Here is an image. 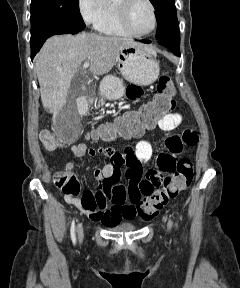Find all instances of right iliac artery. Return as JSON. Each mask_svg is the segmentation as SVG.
<instances>
[{"instance_id":"right-iliac-artery-1","label":"right iliac artery","mask_w":240,"mask_h":288,"mask_svg":"<svg viewBox=\"0 0 240 288\" xmlns=\"http://www.w3.org/2000/svg\"><path fill=\"white\" fill-rule=\"evenodd\" d=\"M70 234H71L72 242L75 245L76 244V234H75V221L74 220L72 221V224H71Z\"/></svg>"}]
</instances>
